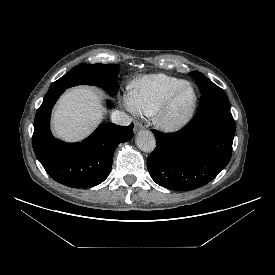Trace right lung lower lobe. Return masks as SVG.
<instances>
[{
    "instance_id": "right-lung-lower-lobe-1",
    "label": "right lung lower lobe",
    "mask_w": 275,
    "mask_h": 275,
    "mask_svg": "<svg viewBox=\"0 0 275 275\" xmlns=\"http://www.w3.org/2000/svg\"><path fill=\"white\" fill-rule=\"evenodd\" d=\"M65 89L48 91L37 110L32 146L46 172L55 181L72 188H90L109 175L113 154L119 143L133 136V124H101L78 143H64L50 132L51 110ZM108 106L112 107L110 101Z\"/></svg>"
}]
</instances>
